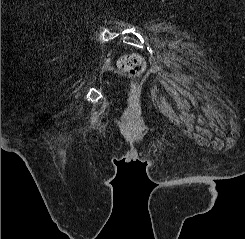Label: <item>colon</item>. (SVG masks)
Returning a JSON list of instances; mask_svg holds the SVG:
<instances>
[{"label":"colon","mask_w":245,"mask_h":239,"mask_svg":"<svg viewBox=\"0 0 245 239\" xmlns=\"http://www.w3.org/2000/svg\"><path fill=\"white\" fill-rule=\"evenodd\" d=\"M118 67L131 77H138L144 71L145 62L139 54L130 53L119 59Z\"/></svg>","instance_id":"colon-1"}]
</instances>
